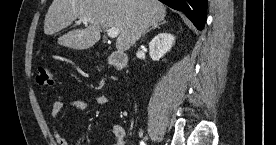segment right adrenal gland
<instances>
[{"label": "right adrenal gland", "mask_w": 276, "mask_h": 145, "mask_svg": "<svg viewBox=\"0 0 276 145\" xmlns=\"http://www.w3.org/2000/svg\"><path fill=\"white\" fill-rule=\"evenodd\" d=\"M165 23H166V21H162L161 23L152 26L150 29H148V30L146 31V33H144L143 37H144L149 31H151V30H153V29H156V28H159L160 25H163V24H165Z\"/></svg>", "instance_id": "1"}]
</instances>
